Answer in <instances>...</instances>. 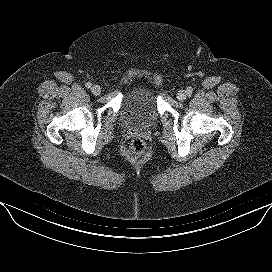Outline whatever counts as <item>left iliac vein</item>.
I'll list each match as a JSON object with an SVG mask.
<instances>
[{"label":"left iliac vein","mask_w":272,"mask_h":272,"mask_svg":"<svg viewBox=\"0 0 272 272\" xmlns=\"http://www.w3.org/2000/svg\"><path fill=\"white\" fill-rule=\"evenodd\" d=\"M187 91H185V90H180V91H178V93H177V98H178V100L179 101H184L185 99H186V97H187Z\"/></svg>","instance_id":"left-iliac-vein-1"}]
</instances>
